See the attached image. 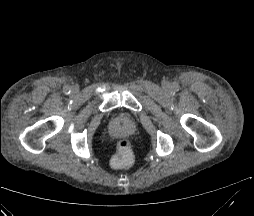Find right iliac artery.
Instances as JSON below:
<instances>
[{"label": "right iliac artery", "mask_w": 254, "mask_h": 216, "mask_svg": "<svg viewBox=\"0 0 254 216\" xmlns=\"http://www.w3.org/2000/svg\"><path fill=\"white\" fill-rule=\"evenodd\" d=\"M63 91L65 94H69L71 92V89L69 87H65Z\"/></svg>", "instance_id": "82829eb1"}]
</instances>
